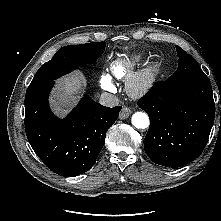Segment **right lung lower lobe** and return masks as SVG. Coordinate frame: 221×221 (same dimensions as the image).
Instances as JSON below:
<instances>
[{
	"instance_id": "obj_1",
	"label": "right lung lower lobe",
	"mask_w": 221,
	"mask_h": 221,
	"mask_svg": "<svg viewBox=\"0 0 221 221\" xmlns=\"http://www.w3.org/2000/svg\"><path fill=\"white\" fill-rule=\"evenodd\" d=\"M54 82L29 86L25 95V130L42 162L62 176L88 171L96 161L107 130L116 121L120 106H102L85 95L64 119L50 110L48 96Z\"/></svg>"
}]
</instances>
